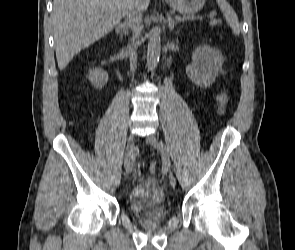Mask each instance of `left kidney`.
<instances>
[{
    "label": "left kidney",
    "instance_id": "obj_1",
    "mask_svg": "<svg viewBox=\"0 0 295 250\" xmlns=\"http://www.w3.org/2000/svg\"><path fill=\"white\" fill-rule=\"evenodd\" d=\"M222 54L207 45L199 46L192 55V63L186 67V74L198 86L207 88L222 70Z\"/></svg>",
    "mask_w": 295,
    "mask_h": 250
}]
</instances>
